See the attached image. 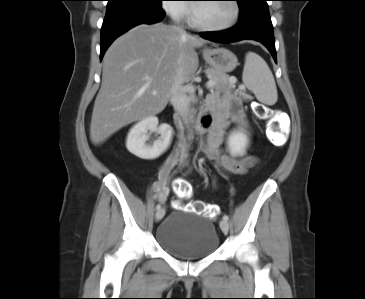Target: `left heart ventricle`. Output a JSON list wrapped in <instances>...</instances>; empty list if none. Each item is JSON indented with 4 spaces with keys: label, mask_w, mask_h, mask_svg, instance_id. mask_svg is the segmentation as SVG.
<instances>
[{
    "label": "left heart ventricle",
    "mask_w": 365,
    "mask_h": 299,
    "mask_svg": "<svg viewBox=\"0 0 365 299\" xmlns=\"http://www.w3.org/2000/svg\"><path fill=\"white\" fill-rule=\"evenodd\" d=\"M195 12L200 22L210 26H220L231 21L234 9L230 1L224 3H198Z\"/></svg>",
    "instance_id": "1"
}]
</instances>
